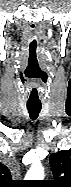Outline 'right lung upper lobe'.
I'll list each match as a JSON object with an SVG mask.
<instances>
[{"label":"right lung upper lobe","mask_w":71,"mask_h":187,"mask_svg":"<svg viewBox=\"0 0 71 187\" xmlns=\"http://www.w3.org/2000/svg\"><path fill=\"white\" fill-rule=\"evenodd\" d=\"M1 175L3 176V179L5 180H9L11 178L10 171L6 166L1 167Z\"/></svg>","instance_id":"obj_1"}]
</instances>
